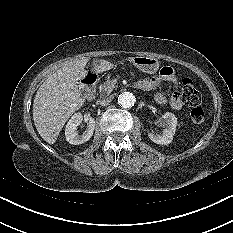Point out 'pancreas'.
Returning <instances> with one entry per match:
<instances>
[{
    "instance_id": "cf45deb5",
    "label": "pancreas",
    "mask_w": 233,
    "mask_h": 233,
    "mask_svg": "<svg viewBox=\"0 0 233 233\" xmlns=\"http://www.w3.org/2000/svg\"><path fill=\"white\" fill-rule=\"evenodd\" d=\"M115 85L112 83L111 79H107L99 86L100 97H105L106 95L111 94Z\"/></svg>"
}]
</instances>
